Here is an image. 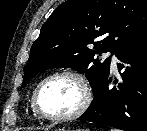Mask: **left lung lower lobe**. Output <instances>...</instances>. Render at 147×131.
I'll list each match as a JSON object with an SVG mask.
<instances>
[{
  "label": "left lung lower lobe",
  "mask_w": 147,
  "mask_h": 131,
  "mask_svg": "<svg viewBox=\"0 0 147 131\" xmlns=\"http://www.w3.org/2000/svg\"><path fill=\"white\" fill-rule=\"evenodd\" d=\"M120 82L109 89L108 75L87 111L77 120L123 131H147V31L116 54ZM117 83V80L114 81Z\"/></svg>",
  "instance_id": "left-lung-lower-lobe-1"
}]
</instances>
